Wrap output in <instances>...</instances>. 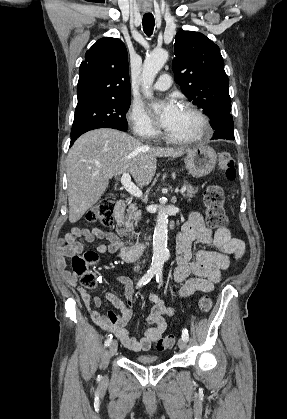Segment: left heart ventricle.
<instances>
[{"label":"left heart ventricle","mask_w":287,"mask_h":419,"mask_svg":"<svg viewBox=\"0 0 287 419\" xmlns=\"http://www.w3.org/2000/svg\"><path fill=\"white\" fill-rule=\"evenodd\" d=\"M166 131L175 137L188 138L200 133L201 124L193 114L181 108L176 119Z\"/></svg>","instance_id":"b2bd125f"}]
</instances>
